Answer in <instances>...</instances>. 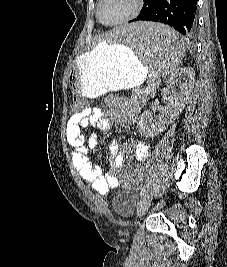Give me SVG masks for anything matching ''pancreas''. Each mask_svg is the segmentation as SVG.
I'll list each match as a JSON object with an SVG mask.
<instances>
[{
	"label": "pancreas",
	"mask_w": 227,
	"mask_h": 267,
	"mask_svg": "<svg viewBox=\"0 0 227 267\" xmlns=\"http://www.w3.org/2000/svg\"><path fill=\"white\" fill-rule=\"evenodd\" d=\"M153 87V85H150L148 87H146L147 90H150Z\"/></svg>",
	"instance_id": "obj_1"
}]
</instances>
